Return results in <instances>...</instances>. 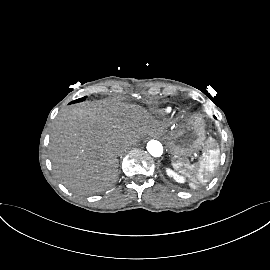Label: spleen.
Masks as SVG:
<instances>
[{"label":"spleen","instance_id":"spleen-1","mask_svg":"<svg viewBox=\"0 0 270 270\" xmlns=\"http://www.w3.org/2000/svg\"><path fill=\"white\" fill-rule=\"evenodd\" d=\"M219 153L220 150L217 143L213 139H209L205 143L203 157L199 163L190 165L188 162H184L173 165V167L194 182L196 178L200 182H207L218 165Z\"/></svg>","mask_w":270,"mask_h":270}]
</instances>
